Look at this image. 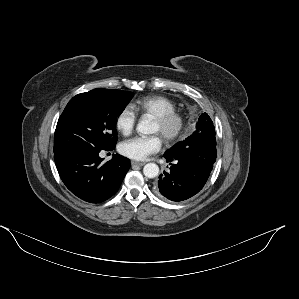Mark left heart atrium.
<instances>
[{"label":"left heart atrium","instance_id":"39dd6f15","mask_svg":"<svg viewBox=\"0 0 299 299\" xmlns=\"http://www.w3.org/2000/svg\"><path fill=\"white\" fill-rule=\"evenodd\" d=\"M162 146L160 135L148 137L136 136L123 141L119 145V152L133 160H145L151 154L158 152Z\"/></svg>","mask_w":299,"mask_h":299}]
</instances>
